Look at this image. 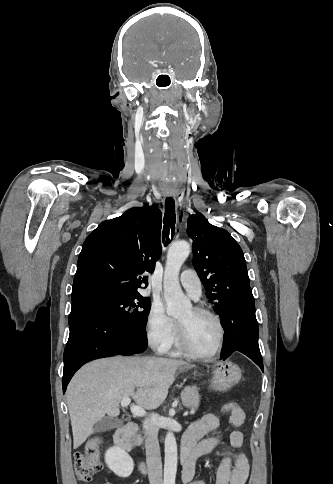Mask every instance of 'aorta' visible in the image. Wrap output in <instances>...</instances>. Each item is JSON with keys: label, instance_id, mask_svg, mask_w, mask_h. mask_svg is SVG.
Here are the masks:
<instances>
[{"label": "aorta", "instance_id": "1", "mask_svg": "<svg viewBox=\"0 0 333 484\" xmlns=\"http://www.w3.org/2000/svg\"><path fill=\"white\" fill-rule=\"evenodd\" d=\"M190 245L186 241L174 242L167 254L164 272V299L166 312L169 316H180L191 307V302L186 297L179 283V272L182 264L189 256ZM164 484H175L177 472V443L172 432H168L164 442Z\"/></svg>", "mask_w": 333, "mask_h": 484}]
</instances>
